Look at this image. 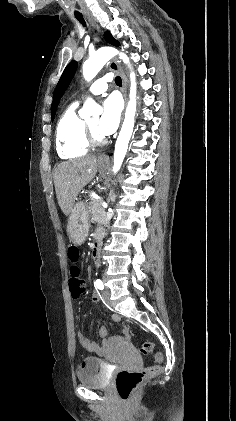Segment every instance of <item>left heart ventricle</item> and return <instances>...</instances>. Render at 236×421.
<instances>
[{"instance_id": "1", "label": "left heart ventricle", "mask_w": 236, "mask_h": 421, "mask_svg": "<svg viewBox=\"0 0 236 421\" xmlns=\"http://www.w3.org/2000/svg\"><path fill=\"white\" fill-rule=\"evenodd\" d=\"M87 122H88L91 130L93 131V133L96 136H102V134L98 130V122H99L98 117L91 118V119L87 120Z\"/></svg>"}]
</instances>
